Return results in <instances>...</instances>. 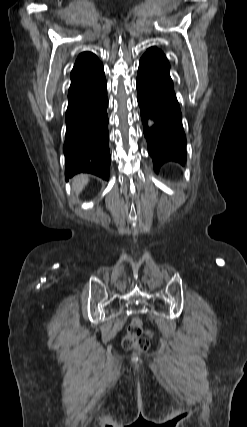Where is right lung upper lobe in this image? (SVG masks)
<instances>
[{
  "label": "right lung upper lobe",
  "instance_id": "right-lung-upper-lobe-1",
  "mask_svg": "<svg viewBox=\"0 0 247 427\" xmlns=\"http://www.w3.org/2000/svg\"><path fill=\"white\" fill-rule=\"evenodd\" d=\"M102 67V63L93 53H81L78 56L71 72V84L87 78Z\"/></svg>",
  "mask_w": 247,
  "mask_h": 427
}]
</instances>
